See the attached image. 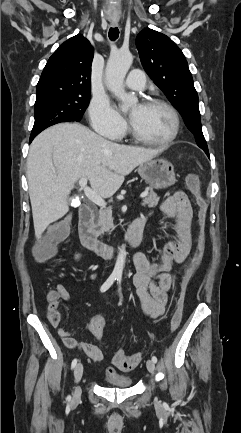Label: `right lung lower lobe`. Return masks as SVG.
Masks as SVG:
<instances>
[{
    "label": "right lung lower lobe",
    "mask_w": 241,
    "mask_h": 433,
    "mask_svg": "<svg viewBox=\"0 0 241 433\" xmlns=\"http://www.w3.org/2000/svg\"><path fill=\"white\" fill-rule=\"evenodd\" d=\"M36 135H31L30 136V142L35 138Z\"/></svg>",
    "instance_id": "obj_1"
}]
</instances>
